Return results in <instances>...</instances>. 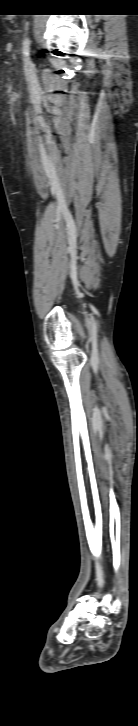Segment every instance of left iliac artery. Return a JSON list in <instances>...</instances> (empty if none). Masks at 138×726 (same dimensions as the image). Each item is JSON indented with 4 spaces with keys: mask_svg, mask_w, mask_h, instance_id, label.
<instances>
[{
    "mask_svg": "<svg viewBox=\"0 0 138 726\" xmlns=\"http://www.w3.org/2000/svg\"><path fill=\"white\" fill-rule=\"evenodd\" d=\"M30 55V39L27 36L23 41V56L26 61H29Z\"/></svg>",
    "mask_w": 138,
    "mask_h": 726,
    "instance_id": "1",
    "label": "left iliac artery"
}]
</instances>
